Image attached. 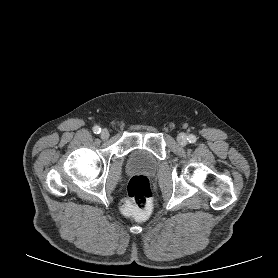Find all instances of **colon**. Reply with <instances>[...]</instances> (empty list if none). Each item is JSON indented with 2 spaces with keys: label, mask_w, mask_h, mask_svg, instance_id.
Segmentation results:
<instances>
[{
  "label": "colon",
  "mask_w": 278,
  "mask_h": 278,
  "mask_svg": "<svg viewBox=\"0 0 278 278\" xmlns=\"http://www.w3.org/2000/svg\"><path fill=\"white\" fill-rule=\"evenodd\" d=\"M153 191L149 179L143 175L133 176L127 187V195L121 199L119 208L138 219H146L152 208Z\"/></svg>",
  "instance_id": "colon-1"
}]
</instances>
